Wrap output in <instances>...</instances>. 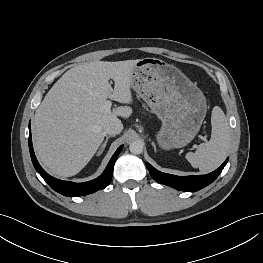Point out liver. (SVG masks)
Returning <instances> with one entry per match:
<instances>
[{
    "label": "liver",
    "mask_w": 263,
    "mask_h": 263,
    "mask_svg": "<svg viewBox=\"0 0 263 263\" xmlns=\"http://www.w3.org/2000/svg\"><path fill=\"white\" fill-rule=\"evenodd\" d=\"M137 61L84 63L65 72L49 90L35 113L33 139L41 162L52 174L76 175L103 142L104 127L118 121V116H131L129 106L110 113L101 107L108 99L133 102L132 70Z\"/></svg>",
    "instance_id": "obj_1"
}]
</instances>
